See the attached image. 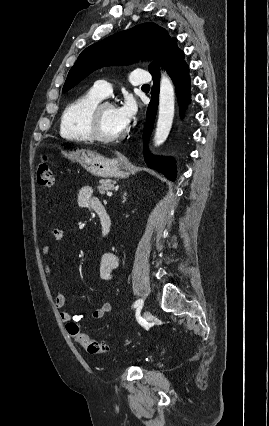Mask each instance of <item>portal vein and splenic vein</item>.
<instances>
[{"label": "portal vein and splenic vein", "mask_w": 269, "mask_h": 426, "mask_svg": "<svg viewBox=\"0 0 269 426\" xmlns=\"http://www.w3.org/2000/svg\"><path fill=\"white\" fill-rule=\"evenodd\" d=\"M107 196L111 197L112 196V192H107Z\"/></svg>", "instance_id": "portal-vein-and-splenic-vein-1"}]
</instances>
